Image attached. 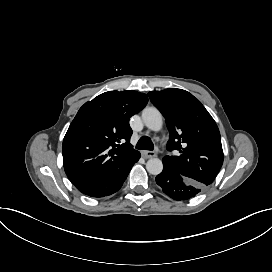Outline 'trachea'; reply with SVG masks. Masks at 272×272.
Masks as SVG:
<instances>
[{"instance_id": "3493384b", "label": "trachea", "mask_w": 272, "mask_h": 272, "mask_svg": "<svg viewBox=\"0 0 272 272\" xmlns=\"http://www.w3.org/2000/svg\"><path fill=\"white\" fill-rule=\"evenodd\" d=\"M137 149H141V150H150L152 151L154 148V145L151 141V139L148 136H142L137 145H136Z\"/></svg>"}]
</instances>
